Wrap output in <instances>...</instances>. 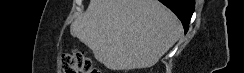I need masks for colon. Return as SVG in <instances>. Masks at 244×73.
<instances>
[{
  "instance_id": "5ec220e1",
  "label": "colon",
  "mask_w": 244,
  "mask_h": 73,
  "mask_svg": "<svg viewBox=\"0 0 244 73\" xmlns=\"http://www.w3.org/2000/svg\"><path fill=\"white\" fill-rule=\"evenodd\" d=\"M60 62L64 73H100L92 60L81 51L63 54Z\"/></svg>"
}]
</instances>
